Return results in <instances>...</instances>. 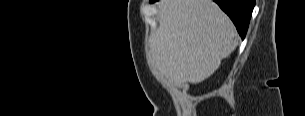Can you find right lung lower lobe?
I'll list each match as a JSON object with an SVG mask.
<instances>
[{
    "mask_svg": "<svg viewBox=\"0 0 305 116\" xmlns=\"http://www.w3.org/2000/svg\"><path fill=\"white\" fill-rule=\"evenodd\" d=\"M157 0H151L154 2ZM231 18L242 39L245 38L255 0H214Z\"/></svg>",
    "mask_w": 305,
    "mask_h": 116,
    "instance_id": "1",
    "label": "right lung lower lobe"
}]
</instances>
